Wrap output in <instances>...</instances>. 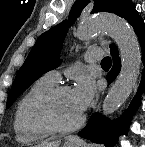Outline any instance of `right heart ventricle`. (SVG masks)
<instances>
[{
	"instance_id": "1",
	"label": "right heart ventricle",
	"mask_w": 145,
	"mask_h": 147,
	"mask_svg": "<svg viewBox=\"0 0 145 147\" xmlns=\"http://www.w3.org/2000/svg\"><path fill=\"white\" fill-rule=\"evenodd\" d=\"M55 86L47 76L37 79L18 102L13 120L16 139L22 143H34L50 137L53 133L32 119L30 109L34 99Z\"/></svg>"
}]
</instances>
